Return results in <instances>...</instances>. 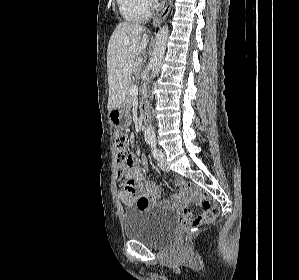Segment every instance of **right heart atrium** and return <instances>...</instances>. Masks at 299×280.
Here are the masks:
<instances>
[{
	"mask_svg": "<svg viewBox=\"0 0 299 280\" xmlns=\"http://www.w3.org/2000/svg\"><path fill=\"white\" fill-rule=\"evenodd\" d=\"M143 1H144L147 8H149L153 5V2H152L153 0H143Z\"/></svg>",
	"mask_w": 299,
	"mask_h": 280,
	"instance_id": "1",
	"label": "right heart atrium"
}]
</instances>
